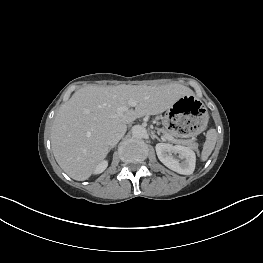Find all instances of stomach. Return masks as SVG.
I'll return each instance as SVG.
<instances>
[{"mask_svg": "<svg viewBox=\"0 0 263 263\" xmlns=\"http://www.w3.org/2000/svg\"><path fill=\"white\" fill-rule=\"evenodd\" d=\"M163 125L176 137L195 138L207 128L208 114L193 95H185L167 109Z\"/></svg>", "mask_w": 263, "mask_h": 263, "instance_id": "0dacf381", "label": "stomach"}]
</instances>
